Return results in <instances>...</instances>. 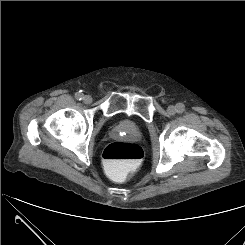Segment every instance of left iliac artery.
Here are the masks:
<instances>
[{
	"mask_svg": "<svg viewBox=\"0 0 245 245\" xmlns=\"http://www.w3.org/2000/svg\"><path fill=\"white\" fill-rule=\"evenodd\" d=\"M177 111L179 112V113H182L183 111H184V109H185V106H184V104H182V103H179V104H177Z\"/></svg>",
	"mask_w": 245,
	"mask_h": 245,
	"instance_id": "left-iliac-artery-1",
	"label": "left iliac artery"
}]
</instances>
